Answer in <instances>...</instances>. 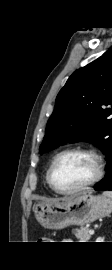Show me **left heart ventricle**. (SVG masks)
I'll return each mask as SVG.
<instances>
[{
  "mask_svg": "<svg viewBox=\"0 0 112 270\" xmlns=\"http://www.w3.org/2000/svg\"><path fill=\"white\" fill-rule=\"evenodd\" d=\"M94 175L93 159L78 153L66 154L59 158L52 173L54 184L62 190L78 187L88 182Z\"/></svg>",
  "mask_w": 112,
  "mask_h": 270,
  "instance_id": "obj_1",
  "label": "left heart ventricle"
}]
</instances>
